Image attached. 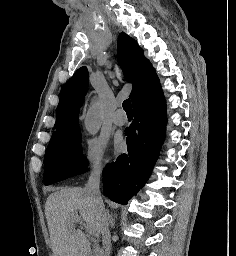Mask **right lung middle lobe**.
I'll return each mask as SVG.
<instances>
[{
	"mask_svg": "<svg viewBox=\"0 0 236 256\" xmlns=\"http://www.w3.org/2000/svg\"><path fill=\"white\" fill-rule=\"evenodd\" d=\"M86 171L79 128L64 137L49 142L45 153V185L62 181Z\"/></svg>",
	"mask_w": 236,
	"mask_h": 256,
	"instance_id": "obj_1",
	"label": "right lung middle lobe"
}]
</instances>
